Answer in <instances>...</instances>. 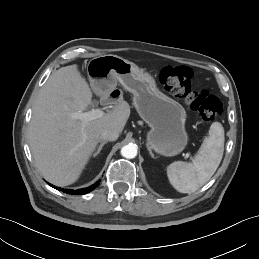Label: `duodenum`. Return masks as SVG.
<instances>
[{
    "label": "duodenum",
    "mask_w": 259,
    "mask_h": 259,
    "mask_svg": "<svg viewBox=\"0 0 259 259\" xmlns=\"http://www.w3.org/2000/svg\"><path fill=\"white\" fill-rule=\"evenodd\" d=\"M117 91V89L113 90L109 95L106 96L105 101H115L119 96V93Z\"/></svg>",
    "instance_id": "obj_1"
}]
</instances>
